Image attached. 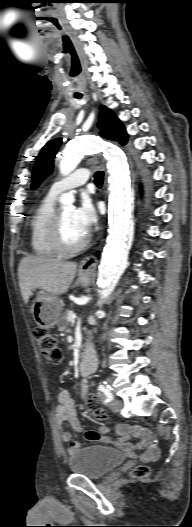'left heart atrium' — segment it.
<instances>
[{
  "instance_id": "obj_1",
  "label": "left heart atrium",
  "mask_w": 192,
  "mask_h": 527,
  "mask_svg": "<svg viewBox=\"0 0 192 527\" xmlns=\"http://www.w3.org/2000/svg\"><path fill=\"white\" fill-rule=\"evenodd\" d=\"M74 217L79 227L88 234L96 222V213L91 202L83 200L81 205L74 209Z\"/></svg>"
}]
</instances>
